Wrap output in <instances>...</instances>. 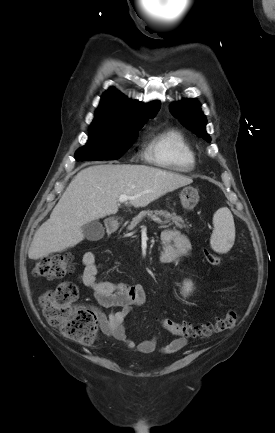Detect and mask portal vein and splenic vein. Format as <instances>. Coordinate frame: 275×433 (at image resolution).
I'll return each mask as SVG.
<instances>
[{"label": "portal vein and splenic vein", "mask_w": 275, "mask_h": 433, "mask_svg": "<svg viewBox=\"0 0 275 433\" xmlns=\"http://www.w3.org/2000/svg\"><path fill=\"white\" fill-rule=\"evenodd\" d=\"M130 199H132V197H129L127 195H120L118 200H119V202H126V201H128ZM154 220L158 221V222H161L160 219H158V218H154Z\"/></svg>", "instance_id": "1"}]
</instances>
